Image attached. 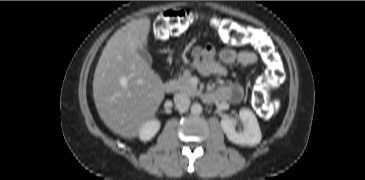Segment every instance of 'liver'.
<instances>
[{"mask_svg":"<svg viewBox=\"0 0 365 180\" xmlns=\"http://www.w3.org/2000/svg\"><path fill=\"white\" fill-rule=\"evenodd\" d=\"M150 19L132 20L107 42L98 61L93 97L99 117L126 139L139 134L164 99L162 79L137 53L147 45Z\"/></svg>","mask_w":365,"mask_h":180,"instance_id":"6515ba94","label":"liver"}]
</instances>
